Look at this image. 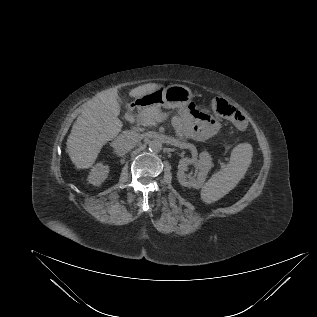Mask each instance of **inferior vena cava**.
<instances>
[{
  "mask_svg": "<svg viewBox=\"0 0 317 317\" xmlns=\"http://www.w3.org/2000/svg\"><path fill=\"white\" fill-rule=\"evenodd\" d=\"M137 142L138 136L135 133L131 131H125L123 134H120L114 139L111 146L114 148L116 153L121 156L133 149Z\"/></svg>",
  "mask_w": 317,
  "mask_h": 317,
  "instance_id": "1",
  "label": "inferior vena cava"
}]
</instances>
